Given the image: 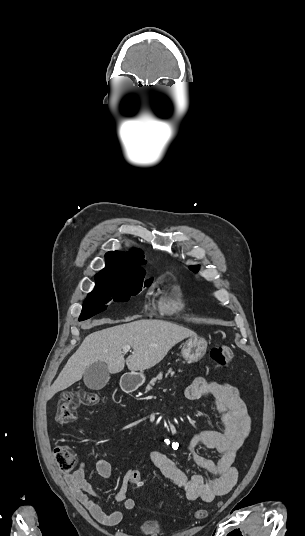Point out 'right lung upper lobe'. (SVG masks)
Masks as SVG:
<instances>
[{"label": "right lung upper lobe", "mask_w": 305, "mask_h": 536, "mask_svg": "<svg viewBox=\"0 0 305 536\" xmlns=\"http://www.w3.org/2000/svg\"><path fill=\"white\" fill-rule=\"evenodd\" d=\"M144 256L140 250L133 249L129 253L110 251L105 255L106 267L95 275L96 280L124 281L144 279Z\"/></svg>", "instance_id": "1"}]
</instances>
